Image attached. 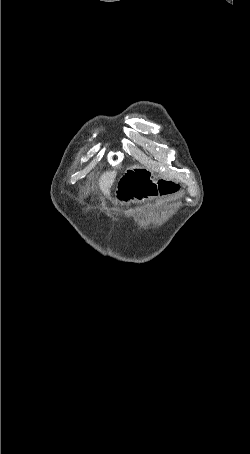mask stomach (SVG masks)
Segmentation results:
<instances>
[{
	"instance_id": "0dacf381",
	"label": "stomach",
	"mask_w": 250,
	"mask_h": 454,
	"mask_svg": "<svg viewBox=\"0 0 250 454\" xmlns=\"http://www.w3.org/2000/svg\"><path fill=\"white\" fill-rule=\"evenodd\" d=\"M122 176H154V175H153V173H151L148 170H145L141 167L132 166V167H129ZM138 201H141V199L138 198Z\"/></svg>"
}]
</instances>
